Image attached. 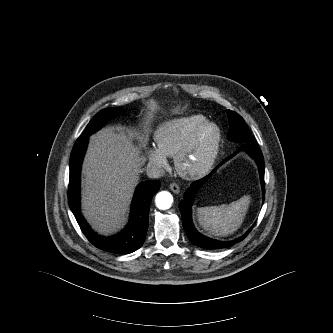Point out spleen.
<instances>
[{"mask_svg":"<svg viewBox=\"0 0 333 333\" xmlns=\"http://www.w3.org/2000/svg\"><path fill=\"white\" fill-rule=\"evenodd\" d=\"M250 204V196H243L226 205L197 208V218L209 235L228 236L237 231L243 223Z\"/></svg>","mask_w":333,"mask_h":333,"instance_id":"1","label":"spleen"}]
</instances>
